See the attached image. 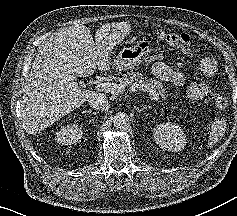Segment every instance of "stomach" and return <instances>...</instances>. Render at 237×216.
I'll return each mask as SVG.
<instances>
[{
	"label": "stomach",
	"instance_id": "obj_1",
	"mask_svg": "<svg viewBox=\"0 0 237 216\" xmlns=\"http://www.w3.org/2000/svg\"><path fill=\"white\" fill-rule=\"evenodd\" d=\"M152 52V43L144 38L132 47L123 48L114 60V65L121 70H132L143 62Z\"/></svg>",
	"mask_w": 237,
	"mask_h": 216
}]
</instances>
